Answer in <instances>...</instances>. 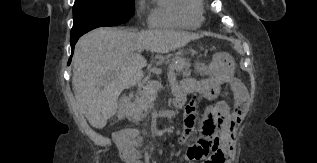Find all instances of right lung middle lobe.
I'll return each mask as SVG.
<instances>
[{"label": "right lung middle lobe", "instance_id": "right-lung-middle-lobe-1", "mask_svg": "<svg viewBox=\"0 0 317 163\" xmlns=\"http://www.w3.org/2000/svg\"><path fill=\"white\" fill-rule=\"evenodd\" d=\"M134 14V0H75L71 39L102 26L127 22Z\"/></svg>", "mask_w": 317, "mask_h": 163}]
</instances>
